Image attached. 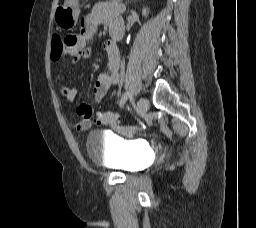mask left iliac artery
Here are the masks:
<instances>
[{
	"label": "left iliac artery",
	"instance_id": "1",
	"mask_svg": "<svg viewBox=\"0 0 256 228\" xmlns=\"http://www.w3.org/2000/svg\"><path fill=\"white\" fill-rule=\"evenodd\" d=\"M130 97L131 94L129 92L124 93L120 99V106L122 107L125 104L126 100Z\"/></svg>",
	"mask_w": 256,
	"mask_h": 228
}]
</instances>
